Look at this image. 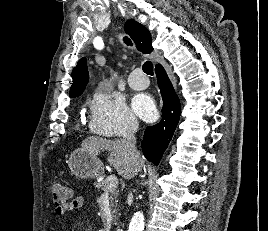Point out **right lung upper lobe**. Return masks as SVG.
Listing matches in <instances>:
<instances>
[{
	"instance_id": "cb5924a9",
	"label": "right lung upper lobe",
	"mask_w": 268,
	"mask_h": 231,
	"mask_svg": "<svg viewBox=\"0 0 268 231\" xmlns=\"http://www.w3.org/2000/svg\"><path fill=\"white\" fill-rule=\"evenodd\" d=\"M124 27L125 32L133 39L139 51L146 54L153 51L151 34L142 24L135 20H128ZM72 79L69 96L76 97L82 94L89 79L85 58L80 59L73 69Z\"/></svg>"
}]
</instances>
